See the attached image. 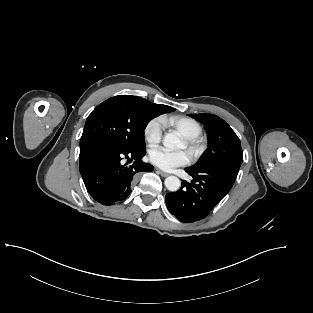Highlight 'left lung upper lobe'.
I'll return each instance as SVG.
<instances>
[{"mask_svg": "<svg viewBox=\"0 0 313 313\" xmlns=\"http://www.w3.org/2000/svg\"><path fill=\"white\" fill-rule=\"evenodd\" d=\"M202 122L209 135L210 147L205 155L191 168L199 169L215 165H232L240 167L243 151L240 140L230 126L213 114H190Z\"/></svg>", "mask_w": 313, "mask_h": 313, "instance_id": "1", "label": "left lung upper lobe"}]
</instances>
